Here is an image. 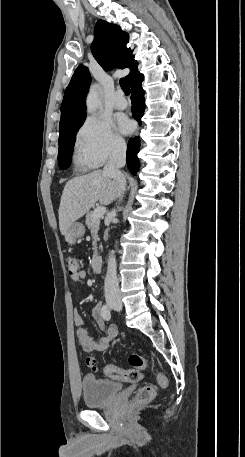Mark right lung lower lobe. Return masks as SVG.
<instances>
[{
	"mask_svg": "<svg viewBox=\"0 0 245 457\" xmlns=\"http://www.w3.org/2000/svg\"><path fill=\"white\" fill-rule=\"evenodd\" d=\"M143 81V76L136 78L130 83L131 87V101H132V115L133 117L141 124V118L144 113L145 103H144V91L141 88V83ZM140 148V139L135 137L130 139L127 147V165L133 175H136L139 170V160L137 158V153Z\"/></svg>",
	"mask_w": 245,
	"mask_h": 457,
	"instance_id": "1",
	"label": "right lung lower lobe"
}]
</instances>
